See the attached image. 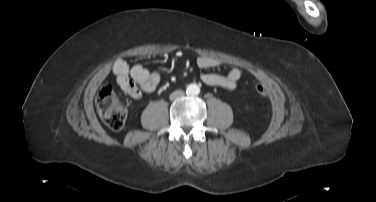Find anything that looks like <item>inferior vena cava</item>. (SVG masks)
<instances>
[{"instance_id": "inferior-vena-cava-1", "label": "inferior vena cava", "mask_w": 376, "mask_h": 202, "mask_svg": "<svg viewBox=\"0 0 376 202\" xmlns=\"http://www.w3.org/2000/svg\"><path fill=\"white\" fill-rule=\"evenodd\" d=\"M184 94H185L184 91L176 90V91H174L170 94L169 98H170V100H175L177 98L183 97Z\"/></svg>"}]
</instances>
